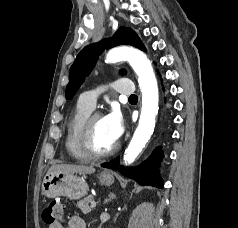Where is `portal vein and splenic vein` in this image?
Here are the masks:
<instances>
[{"mask_svg": "<svg viewBox=\"0 0 238 228\" xmlns=\"http://www.w3.org/2000/svg\"><path fill=\"white\" fill-rule=\"evenodd\" d=\"M91 207L92 208H95L96 207V202L93 200V201H91Z\"/></svg>", "mask_w": 238, "mask_h": 228, "instance_id": "1", "label": "portal vein and splenic vein"}]
</instances>
